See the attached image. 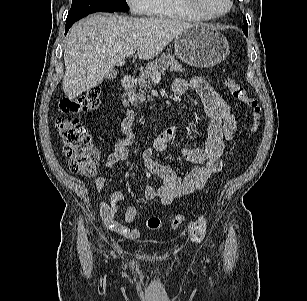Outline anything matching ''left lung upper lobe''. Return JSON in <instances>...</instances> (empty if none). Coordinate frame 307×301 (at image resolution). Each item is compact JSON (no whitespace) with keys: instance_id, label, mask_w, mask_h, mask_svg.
<instances>
[{"instance_id":"1","label":"left lung upper lobe","mask_w":307,"mask_h":301,"mask_svg":"<svg viewBox=\"0 0 307 301\" xmlns=\"http://www.w3.org/2000/svg\"><path fill=\"white\" fill-rule=\"evenodd\" d=\"M243 21L245 23V26L243 27V32L245 33V35L247 36V33H248V24H247V21H246V18L243 17Z\"/></svg>"}]
</instances>
